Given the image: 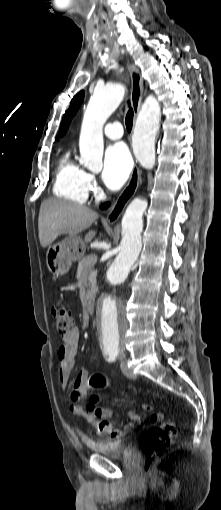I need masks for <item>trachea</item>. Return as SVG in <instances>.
I'll return each mask as SVG.
<instances>
[{
	"mask_svg": "<svg viewBox=\"0 0 221 510\" xmlns=\"http://www.w3.org/2000/svg\"><path fill=\"white\" fill-rule=\"evenodd\" d=\"M128 107H129V110L126 114L125 124H126V128H127L128 132H130L132 129V125H133L134 113H133V109L131 108L130 102H128Z\"/></svg>",
	"mask_w": 221,
	"mask_h": 510,
	"instance_id": "obj_1",
	"label": "trachea"
}]
</instances>
